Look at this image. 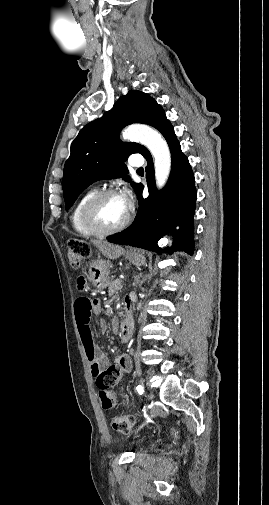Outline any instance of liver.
Instances as JSON below:
<instances>
[{
	"label": "liver",
	"instance_id": "6515ba94",
	"mask_svg": "<svg viewBox=\"0 0 269 505\" xmlns=\"http://www.w3.org/2000/svg\"><path fill=\"white\" fill-rule=\"evenodd\" d=\"M92 243L98 247L102 254L108 259H117L124 253V249L118 245L100 240H92Z\"/></svg>",
	"mask_w": 269,
	"mask_h": 505
}]
</instances>
